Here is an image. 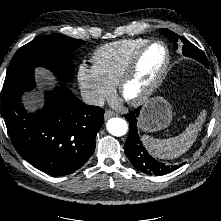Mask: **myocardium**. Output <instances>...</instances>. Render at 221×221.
Instances as JSON below:
<instances>
[{
    "label": "myocardium",
    "instance_id": "f54148a6",
    "mask_svg": "<svg viewBox=\"0 0 221 221\" xmlns=\"http://www.w3.org/2000/svg\"><path fill=\"white\" fill-rule=\"evenodd\" d=\"M155 44L162 45L165 50V61L162 65L160 72L158 73L155 80L151 83V85L141 95L132 99L125 98L124 89L126 85L134 78L141 57L151 46ZM170 63H171V53L168 45L162 40L158 39L149 40L148 42L143 44L140 48H138L129 59L126 67L124 68L116 84L119 94L126 100V102H128L132 106H140L146 103L162 85L169 70Z\"/></svg>",
    "mask_w": 221,
    "mask_h": 221
}]
</instances>
